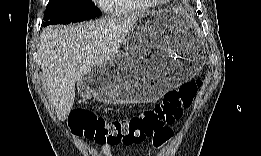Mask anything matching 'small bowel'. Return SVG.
I'll return each mask as SVG.
<instances>
[{
  "label": "small bowel",
  "mask_w": 261,
  "mask_h": 156,
  "mask_svg": "<svg viewBox=\"0 0 261 156\" xmlns=\"http://www.w3.org/2000/svg\"><path fill=\"white\" fill-rule=\"evenodd\" d=\"M143 155H144V156H148V155H149V152H144Z\"/></svg>",
  "instance_id": "c3829d8e"
}]
</instances>
